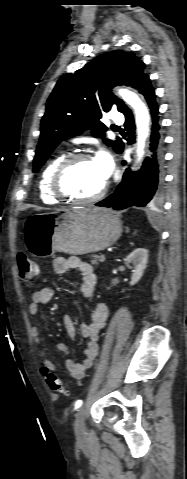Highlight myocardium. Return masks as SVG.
Returning <instances> with one entry per match:
<instances>
[{
  "label": "myocardium",
  "instance_id": "myocardium-1",
  "mask_svg": "<svg viewBox=\"0 0 187 479\" xmlns=\"http://www.w3.org/2000/svg\"><path fill=\"white\" fill-rule=\"evenodd\" d=\"M86 159H93V157L85 152H76L66 156L59 163L51 179V190L57 198L73 204H90L100 200L107 193L109 188L108 181L105 182L103 187L96 194L90 197H78L66 190L64 183L67 173L77 162Z\"/></svg>",
  "mask_w": 187,
  "mask_h": 479
}]
</instances>
